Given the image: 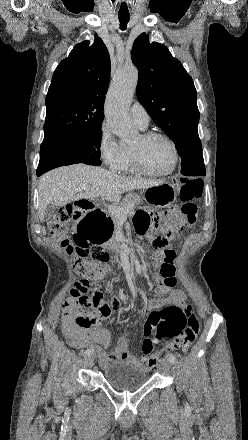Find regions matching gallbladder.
<instances>
[{"label": "gallbladder", "instance_id": "bac80fb5", "mask_svg": "<svg viewBox=\"0 0 248 440\" xmlns=\"http://www.w3.org/2000/svg\"><path fill=\"white\" fill-rule=\"evenodd\" d=\"M55 210H56V207L54 205H49L45 211L43 220L49 221L53 217Z\"/></svg>", "mask_w": 248, "mask_h": 440}]
</instances>
